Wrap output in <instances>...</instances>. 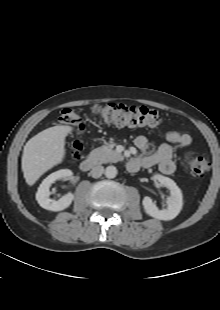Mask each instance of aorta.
I'll return each instance as SVG.
<instances>
[{
  "mask_svg": "<svg viewBox=\"0 0 220 310\" xmlns=\"http://www.w3.org/2000/svg\"><path fill=\"white\" fill-rule=\"evenodd\" d=\"M117 175V169L115 166H108L105 170V176L109 179L115 178Z\"/></svg>",
  "mask_w": 220,
  "mask_h": 310,
  "instance_id": "obj_1",
  "label": "aorta"
}]
</instances>
